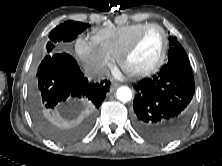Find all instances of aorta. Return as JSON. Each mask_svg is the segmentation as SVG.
Returning a JSON list of instances; mask_svg holds the SVG:
<instances>
[{"label": "aorta", "mask_w": 222, "mask_h": 166, "mask_svg": "<svg viewBox=\"0 0 222 166\" xmlns=\"http://www.w3.org/2000/svg\"><path fill=\"white\" fill-rule=\"evenodd\" d=\"M116 96L120 101L128 102L132 99V92L129 87L122 86L117 89Z\"/></svg>", "instance_id": "1"}]
</instances>
